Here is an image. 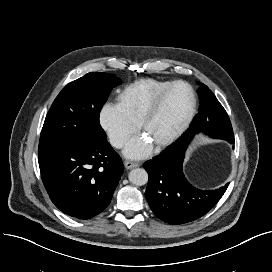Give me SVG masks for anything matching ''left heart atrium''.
<instances>
[{
	"label": "left heart atrium",
	"mask_w": 272,
	"mask_h": 272,
	"mask_svg": "<svg viewBox=\"0 0 272 272\" xmlns=\"http://www.w3.org/2000/svg\"><path fill=\"white\" fill-rule=\"evenodd\" d=\"M151 150V142L144 136H137L128 142L124 149V154L131 159H140L146 157Z\"/></svg>",
	"instance_id": "39dd6f15"
}]
</instances>
